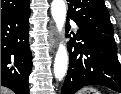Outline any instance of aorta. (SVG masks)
<instances>
[{
    "label": "aorta",
    "instance_id": "obj_1",
    "mask_svg": "<svg viewBox=\"0 0 121 94\" xmlns=\"http://www.w3.org/2000/svg\"><path fill=\"white\" fill-rule=\"evenodd\" d=\"M51 14L57 29L61 32L66 19L65 0H53L51 3ZM68 68V53L64 44H60L54 61L55 78L61 80Z\"/></svg>",
    "mask_w": 121,
    "mask_h": 94
}]
</instances>
